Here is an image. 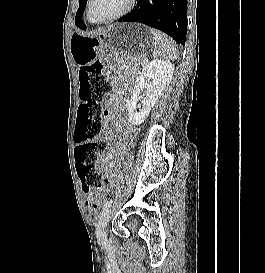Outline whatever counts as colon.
<instances>
[{
    "label": "colon",
    "mask_w": 265,
    "mask_h": 273,
    "mask_svg": "<svg viewBox=\"0 0 265 273\" xmlns=\"http://www.w3.org/2000/svg\"><path fill=\"white\" fill-rule=\"evenodd\" d=\"M103 70L104 64L95 61L84 64L79 72L81 104L74 132L78 145L74 155L76 172L83 190L88 194L87 204L90 207L97 205L103 188V174L97 168L98 153L107 148V141L98 138L108 114L104 100L111 91Z\"/></svg>",
    "instance_id": "obj_1"
}]
</instances>
